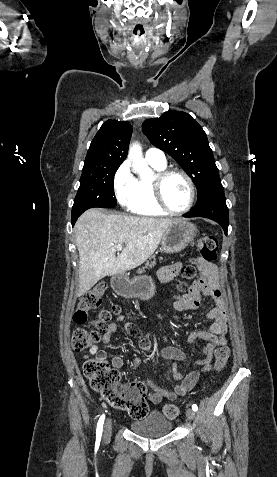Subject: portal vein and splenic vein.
Wrapping results in <instances>:
<instances>
[{
  "instance_id": "obj_1",
  "label": "portal vein and splenic vein",
  "mask_w": 277,
  "mask_h": 477,
  "mask_svg": "<svg viewBox=\"0 0 277 477\" xmlns=\"http://www.w3.org/2000/svg\"><path fill=\"white\" fill-rule=\"evenodd\" d=\"M116 248H117V250H122L123 249L121 244L117 245Z\"/></svg>"
}]
</instances>
